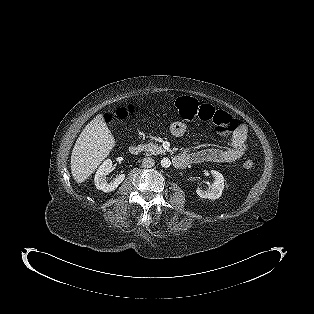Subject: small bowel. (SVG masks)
<instances>
[{
  "label": "small bowel",
  "instance_id": "small-bowel-1",
  "mask_svg": "<svg viewBox=\"0 0 314 314\" xmlns=\"http://www.w3.org/2000/svg\"><path fill=\"white\" fill-rule=\"evenodd\" d=\"M187 131V125L181 121H175L169 126L172 136L181 137ZM247 150V130L240 126L233 133L229 145L226 148H207L195 152L184 153L189 163H233L240 159Z\"/></svg>",
  "mask_w": 314,
  "mask_h": 314
}]
</instances>
